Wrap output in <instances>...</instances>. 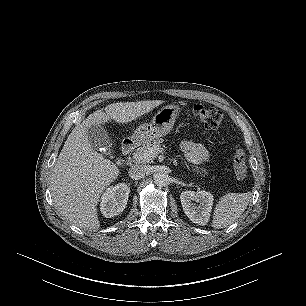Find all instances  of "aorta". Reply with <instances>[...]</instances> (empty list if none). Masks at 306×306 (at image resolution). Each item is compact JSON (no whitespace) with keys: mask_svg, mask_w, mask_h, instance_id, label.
<instances>
[{"mask_svg":"<svg viewBox=\"0 0 306 306\" xmlns=\"http://www.w3.org/2000/svg\"><path fill=\"white\" fill-rule=\"evenodd\" d=\"M154 182L157 186H166L169 184V175L167 173H157L154 176Z\"/></svg>","mask_w":306,"mask_h":306,"instance_id":"1","label":"aorta"}]
</instances>
